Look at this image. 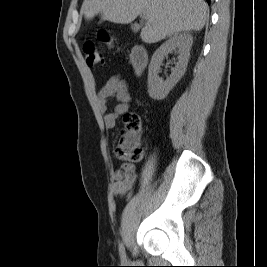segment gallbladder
Listing matches in <instances>:
<instances>
[{"label":"gallbladder","mask_w":267,"mask_h":267,"mask_svg":"<svg viewBox=\"0 0 267 267\" xmlns=\"http://www.w3.org/2000/svg\"><path fill=\"white\" fill-rule=\"evenodd\" d=\"M132 30L137 31L139 29V25L137 23H134L131 25Z\"/></svg>","instance_id":"obj_1"}]
</instances>
